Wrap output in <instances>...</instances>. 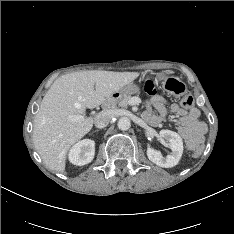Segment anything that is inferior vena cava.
I'll use <instances>...</instances> for the list:
<instances>
[{
	"instance_id": "1",
	"label": "inferior vena cava",
	"mask_w": 234,
	"mask_h": 234,
	"mask_svg": "<svg viewBox=\"0 0 234 234\" xmlns=\"http://www.w3.org/2000/svg\"><path fill=\"white\" fill-rule=\"evenodd\" d=\"M112 119V115L107 111L98 113L95 117L94 124L96 128L102 129L106 127Z\"/></svg>"
}]
</instances>
